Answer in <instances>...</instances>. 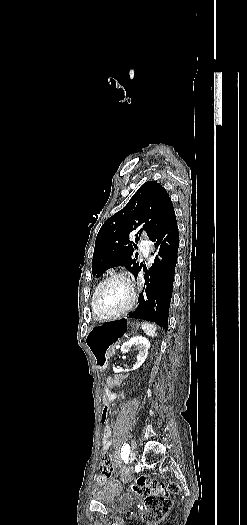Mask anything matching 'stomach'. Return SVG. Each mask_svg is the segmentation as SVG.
<instances>
[{
    "instance_id": "1",
    "label": "stomach",
    "mask_w": 247,
    "mask_h": 525,
    "mask_svg": "<svg viewBox=\"0 0 247 525\" xmlns=\"http://www.w3.org/2000/svg\"><path fill=\"white\" fill-rule=\"evenodd\" d=\"M137 329L138 325L126 318L97 324L91 328L86 338V346L92 353L98 369L104 370L107 366L106 351Z\"/></svg>"
}]
</instances>
